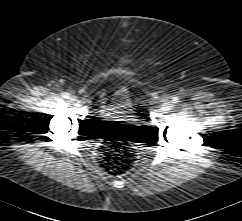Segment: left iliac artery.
<instances>
[{"label": "left iliac artery", "mask_w": 242, "mask_h": 221, "mask_svg": "<svg viewBox=\"0 0 242 221\" xmlns=\"http://www.w3.org/2000/svg\"><path fill=\"white\" fill-rule=\"evenodd\" d=\"M179 102V98L178 97H174L172 100V103L177 104Z\"/></svg>", "instance_id": "left-iliac-artery-1"}]
</instances>
